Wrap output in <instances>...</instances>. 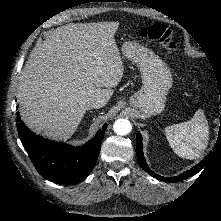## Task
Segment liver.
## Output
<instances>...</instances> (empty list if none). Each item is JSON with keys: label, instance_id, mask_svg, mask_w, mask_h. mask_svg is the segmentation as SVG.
Here are the masks:
<instances>
[{"label": "liver", "instance_id": "obj_1", "mask_svg": "<svg viewBox=\"0 0 221 221\" xmlns=\"http://www.w3.org/2000/svg\"><path fill=\"white\" fill-rule=\"evenodd\" d=\"M118 27V22L70 23L36 45L17 88L20 115L29 128L67 140L89 100L104 105L110 100L124 73L114 39Z\"/></svg>", "mask_w": 221, "mask_h": 221}]
</instances>
